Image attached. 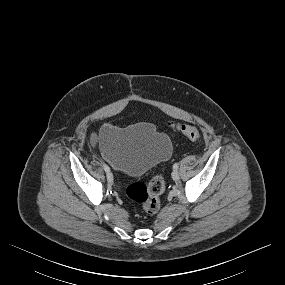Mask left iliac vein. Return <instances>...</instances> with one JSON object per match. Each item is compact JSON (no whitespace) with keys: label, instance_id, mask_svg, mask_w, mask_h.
<instances>
[{"label":"left iliac vein","instance_id":"4c4485c4","mask_svg":"<svg viewBox=\"0 0 285 285\" xmlns=\"http://www.w3.org/2000/svg\"><path fill=\"white\" fill-rule=\"evenodd\" d=\"M172 179H173L174 181H178V180H179V172H178L177 170H174V171L172 172Z\"/></svg>","mask_w":285,"mask_h":285}]
</instances>
